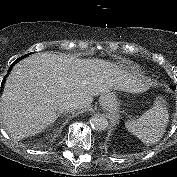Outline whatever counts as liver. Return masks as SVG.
<instances>
[{"label": "liver", "instance_id": "1", "mask_svg": "<svg viewBox=\"0 0 177 177\" xmlns=\"http://www.w3.org/2000/svg\"><path fill=\"white\" fill-rule=\"evenodd\" d=\"M138 83L109 61L35 53L18 62L5 81L0 103L3 125L16 140L34 136L56 121L62 102L71 100L83 109L93 96L131 92Z\"/></svg>", "mask_w": 177, "mask_h": 177}]
</instances>
